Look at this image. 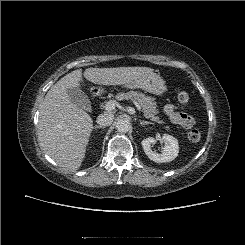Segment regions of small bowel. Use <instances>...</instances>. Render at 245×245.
Returning a JSON list of instances; mask_svg holds the SVG:
<instances>
[{
    "label": "small bowel",
    "instance_id": "c3829d8e",
    "mask_svg": "<svg viewBox=\"0 0 245 245\" xmlns=\"http://www.w3.org/2000/svg\"><path fill=\"white\" fill-rule=\"evenodd\" d=\"M165 114L177 125L190 129L195 125V118L191 115L181 113L173 104H168L165 107Z\"/></svg>",
    "mask_w": 245,
    "mask_h": 245
}]
</instances>
